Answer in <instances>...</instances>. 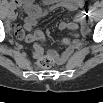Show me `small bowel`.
<instances>
[{
    "label": "small bowel",
    "instance_id": "c3829d8e",
    "mask_svg": "<svg viewBox=\"0 0 103 103\" xmlns=\"http://www.w3.org/2000/svg\"><path fill=\"white\" fill-rule=\"evenodd\" d=\"M11 8V13H13V9L20 8L22 11H24L27 16L23 21V25H15L14 26V35L18 39H24L28 42L34 43L33 48V56L35 59H38L43 54V48L42 43L45 40V34L42 31H36L31 32V30L36 25L37 21L44 16L48 15L49 13L58 10V9H65L68 11H75L79 8H82L84 6L83 0H49L46 1L45 7H40L39 5L33 3L29 0H16L10 2L8 4ZM88 13L89 11H86L80 15H77L75 20L76 22H61L59 24L60 30H76L78 29V24L80 23L81 31L83 33H86L88 31L87 26V20H88ZM14 14V13H13ZM15 17V14L13 18ZM78 46L77 42H74L72 45H70L66 50L61 52L58 55L59 63H64L70 55L72 54L73 50Z\"/></svg>",
    "mask_w": 103,
    "mask_h": 103
}]
</instances>
